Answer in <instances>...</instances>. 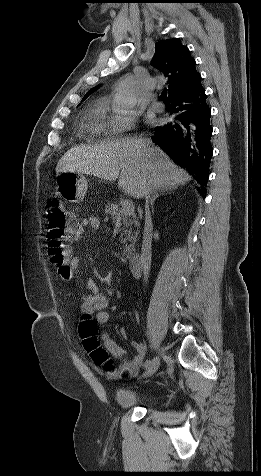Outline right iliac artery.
<instances>
[{
    "label": "right iliac artery",
    "mask_w": 261,
    "mask_h": 476,
    "mask_svg": "<svg viewBox=\"0 0 261 476\" xmlns=\"http://www.w3.org/2000/svg\"><path fill=\"white\" fill-rule=\"evenodd\" d=\"M151 363L150 360H146V362L144 363V366L147 368L149 366V364Z\"/></svg>",
    "instance_id": "1"
}]
</instances>
